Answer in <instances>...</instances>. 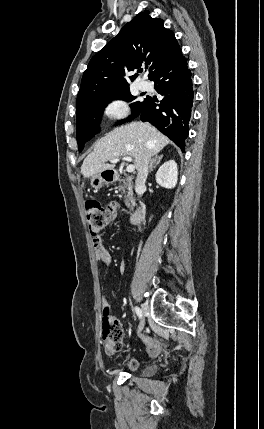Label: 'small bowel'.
<instances>
[{
    "label": "small bowel",
    "mask_w": 264,
    "mask_h": 429,
    "mask_svg": "<svg viewBox=\"0 0 264 429\" xmlns=\"http://www.w3.org/2000/svg\"><path fill=\"white\" fill-rule=\"evenodd\" d=\"M117 215V211L115 206H113V214H112V220H114L116 218ZM93 246H94V250H95V254H96V258L97 260L104 266H109L112 263V255L111 253L103 246L102 240L100 237L98 238H94L93 239ZM125 269L124 266L120 267V272H123ZM107 307V302L104 300L103 301V309H105ZM143 342L145 343V345L147 346V354L150 357H155L157 356L163 345L160 342L157 341H153L152 338H150L149 336H144L143 337Z\"/></svg>",
    "instance_id": "1"
}]
</instances>
